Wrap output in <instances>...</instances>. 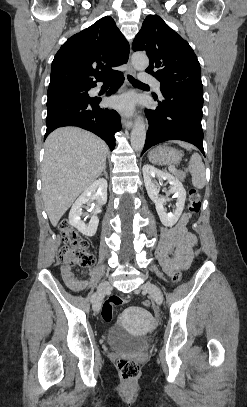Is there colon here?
<instances>
[{
    "label": "colon",
    "mask_w": 247,
    "mask_h": 407,
    "mask_svg": "<svg viewBox=\"0 0 247 407\" xmlns=\"http://www.w3.org/2000/svg\"><path fill=\"white\" fill-rule=\"evenodd\" d=\"M188 204V219L201 209V194L196 189L189 191ZM59 231L64 241L59 260L64 267H86L89 268L94 263V258L89 250L88 243L73 229L68 221L63 220L59 224ZM171 280L173 283H178L181 280V272L175 271ZM128 302L127 297L118 295L110 296L105 300L101 316L104 321L109 322L113 318L114 307L122 306ZM143 306H150V302L143 301ZM119 373L123 380L130 382L134 381L140 374V365L133 359L120 358L117 362Z\"/></svg>",
    "instance_id": "obj_1"
}]
</instances>
